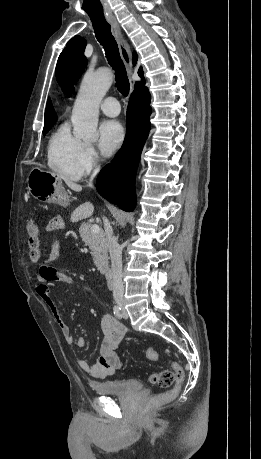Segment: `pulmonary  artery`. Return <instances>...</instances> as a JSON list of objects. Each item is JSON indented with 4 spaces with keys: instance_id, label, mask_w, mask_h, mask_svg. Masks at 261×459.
<instances>
[{
    "instance_id": "pulmonary-artery-1",
    "label": "pulmonary artery",
    "mask_w": 261,
    "mask_h": 459,
    "mask_svg": "<svg viewBox=\"0 0 261 459\" xmlns=\"http://www.w3.org/2000/svg\"><path fill=\"white\" fill-rule=\"evenodd\" d=\"M101 111L110 117H116L120 113V105L116 98L107 97L100 105Z\"/></svg>"
}]
</instances>
